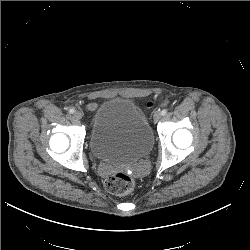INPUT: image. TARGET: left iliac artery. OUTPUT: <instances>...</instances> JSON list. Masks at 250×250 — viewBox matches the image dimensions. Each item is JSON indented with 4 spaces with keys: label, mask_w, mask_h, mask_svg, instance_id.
Here are the masks:
<instances>
[{
    "label": "left iliac artery",
    "mask_w": 250,
    "mask_h": 250,
    "mask_svg": "<svg viewBox=\"0 0 250 250\" xmlns=\"http://www.w3.org/2000/svg\"><path fill=\"white\" fill-rule=\"evenodd\" d=\"M167 112H168V109H167V108H165V109H163V110L161 111L162 115H165Z\"/></svg>",
    "instance_id": "obj_1"
}]
</instances>
